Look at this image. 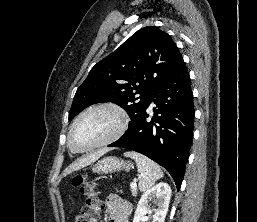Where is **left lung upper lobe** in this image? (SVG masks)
Segmentation results:
<instances>
[{"instance_id": "5c2ea615", "label": "left lung upper lobe", "mask_w": 257, "mask_h": 222, "mask_svg": "<svg viewBox=\"0 0 257 222\" xmlns=\"http://www.w3.org/2000/svg\"><path fill=\"white\" fill-rule=\"evenodd\" d=\"M182 60L166 32L155 26L138 30L91 69L77 89L69 119L92 104L113 102L128 113L130 127L156 88Z\"/></svg>"}]
</instances>
